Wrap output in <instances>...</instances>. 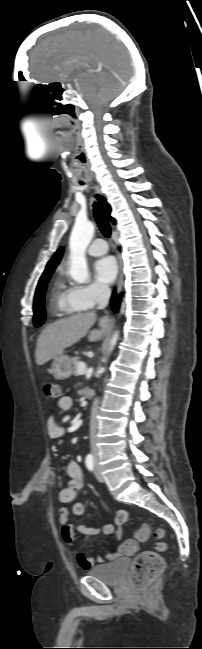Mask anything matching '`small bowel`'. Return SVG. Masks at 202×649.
Returning <instances> with one entry per match:
<instances>
[{
	"instance_id": "1",
	"label": "small bowel",
	"mask_w": 202,
	"mask_h": 649,
	"mask_svg": "<svg viewBox=\"0 0 202 649\" xmlns=\"http://www.w3.org/2000/svg\"><path fill=\"white\" fill-rule=\"evenodd\" d=\"M72 406L73 400L69 396H64L57 402V407L61 411H69ZM47 432L51 439H61L68 433L65 427L60 426L56 422L54 415H51L47 420ZM66 473L68 476L67 484L59 493V500L63 504L60 508L59 521L61 524V534L63 539L69 545L74 546L80 542L77 538V533L82 536H95L99 534L100 529L77 525L71 522V514L82 515L85 511V506L82 503H74L72 507L68 506L75 500L77 493L83 487V471L78 462L71 461L66 466ZM128 517L129 513L126 510L118 511L114 523L106 524L102 528V532L105 535H115V537L120 540L122 538V526L126 523ZM123 554L122 546H120L117 550H111L95 557H88L83 552L76 551L75 557L78 565L81 568L88 570L96 563L112 561Z\"/></svg>"
}]
</instances>
